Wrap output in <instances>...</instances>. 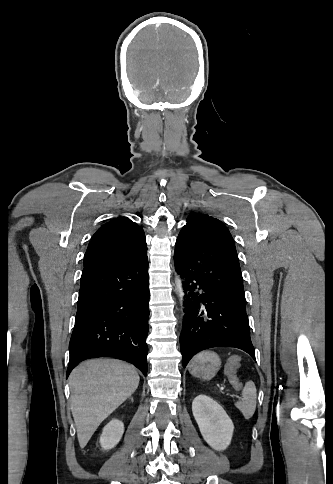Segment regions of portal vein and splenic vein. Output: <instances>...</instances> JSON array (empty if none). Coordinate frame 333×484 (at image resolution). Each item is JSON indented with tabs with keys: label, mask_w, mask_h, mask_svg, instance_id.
I'll return each instance as SVG.
<instances>
[{
	"label": "portal vein and splenic vein",
	"mask_w": 333,
	"mask_h": 484,
	"mask_svg": "<svg viewBox=\"0 0 333 484\" xmlns=\"http://www.w3.org/2000/svg\"><path fill=\"white\" fill-rule=\"evenodd\" d=\"M220 389H221V390H224L225 388H224V387H221ZM226 391H227V395H228V396L233 397V398H239L238 396H236V395H234V394L230 393L228 390H226Z\"/></svg>",
	"instance_id": "18ae733b"
}]
</instances>
